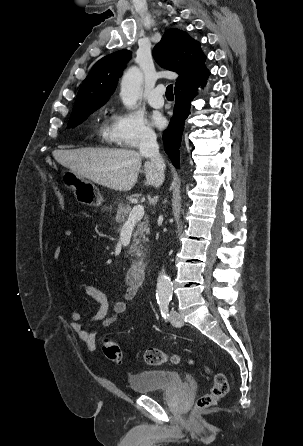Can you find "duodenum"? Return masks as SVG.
Listing matches in <instances>:
<instances>
[{"label":"duodenum","mask_w":303,"mask_h":446,"mask_svg":"<svg viewBox=\"0 0 303 446\" xmlns=\"http://www.w3.org/2000/svg\"><path fill=\"white\" fill-rule=\"evenodd\" d=\"M145 271L146 260L144 258L136 260L128 270V282L133 285H140L145 278Z\"/></svg>","instance_id":"obj_1"}]
</instances>
